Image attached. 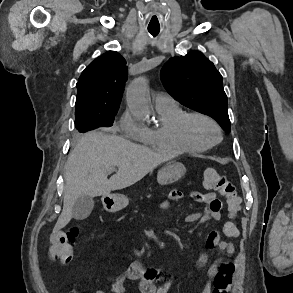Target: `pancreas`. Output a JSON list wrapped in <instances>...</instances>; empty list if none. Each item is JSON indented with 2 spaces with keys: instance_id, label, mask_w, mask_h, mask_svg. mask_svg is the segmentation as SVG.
I'll list each match as a JSON object with an SVG mask.
<instances>
[{
  "instance_id": "pancreas-1",
  "label": "pancreas",
  "mask_w": 293,
  "mask_h": 293,
  "mask_svg": "<svg viewBox=\"0 0 293 293\" xmlns=\"http://www.w3.org/2000/svg\"><path fill=\"white\" fill-rule=\"evenodd\" d=\"M151 197V195L149 194V195H147V198H150Z\"/></svg>"
}]
</instances>
